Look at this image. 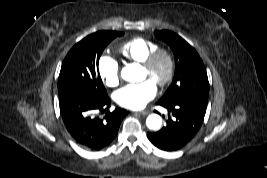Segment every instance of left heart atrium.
Returning <instances> with one entry per match:
<instances>
[{
    "instance_id": "39dd6f15",
    "label": "left heart atrium",
    "mask_w": 267,
    "mask_h": 178,
    "mask_svg": "<svg viewBox=\"0 0 267 178\" xmlns=\"http://www.w3.org/2000/svg\"><path fill=\"white\" fill-rule=\"evenodd\" d=\"M157 94L156 83L151 79L129 84L114 94L116 103L124 108L138 110L146 106Z\"/></svg>"
}]
</instances>
